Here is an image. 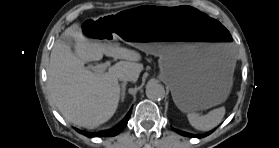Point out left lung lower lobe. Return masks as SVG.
Returning a JSON list of instances; mask_svg holds the SVG:
<instances>
[{
  "instance_id": "obj_1",
  "label": "left lung lower lobe",
  "mask_w": 279,
  "mask_h": 148,
  "mask_svg": "<svg viewBox=\"0 0 279 148\" xmlns=\"http://www.w3.org/2000/svg\"><path fill=\"white\" fill-rule=\"evenodd\" d=\"M174 131H176L177 133H179V134H181L183 136L194 137V138H202V137H205L208 134H210V133H207V134H204V135H193V134H190V133H187V132H183V131H180V130H177V129H174Z\"/></svg>"
}]
</instances>
